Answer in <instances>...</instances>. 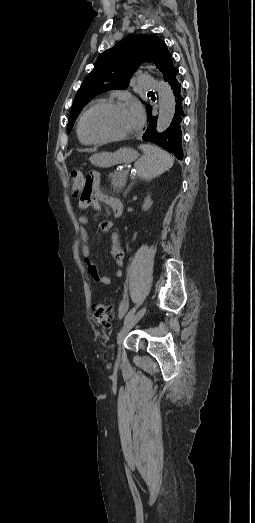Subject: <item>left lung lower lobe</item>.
I'll use <instances>...</instances> for the list:
<instances>
[{
  "label": "left lung lower lobe",
  "mask_w": 255,
  "mask_h": 523,
  "mask_svg": "<svg viewBox=\"0 0 255 523\" xmlns=\"http://www.w3.org/2000/svg\"><path fill=\"white\" fill-rule=\"evenodd\" d=\"M167 85L168 90H170L173 97H175V120H172V123H170V128L161 129L155 134V126H157L158 118L155 115H151L148 118L147 127L142 130L143 134H139V137H141V140H151L148 141V144L156 145L157 147L162 146L167 153H173L177 161L183 162L185 161V156H183L184 151L181 140L182 137H185L183 136V131L185 130L181 129V121L184 119V111H182L184 97L182 92H180L183 88V82H181L177 76H174L167 82ZM157 135H159V137H157Z\"/></svg>",
  "instance_id": "left-lung-lower-lobe-1"
}]
</instances>
